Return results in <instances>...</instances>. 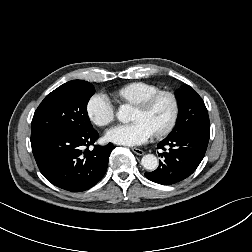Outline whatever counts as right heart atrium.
Wrapping results in <instances>:
<instances>
[{
	"label": "right heart atrium",
	"instance_id": "right-heart-atrium-1",
	"mask_svg": "<svg viewBox=\"0 0 252 252\" xmlns=\"http://www.w3.org/2000/svg\"><path fill=\"white\" fill-rule=\"evenodd\" d=\"M86 114L93 124L104 127L114 120L116 109L106 94L98 92L88 99Z\"/></svg>",
	"mask_w": 252,
	"mask_h": 252
}]
</instances>
